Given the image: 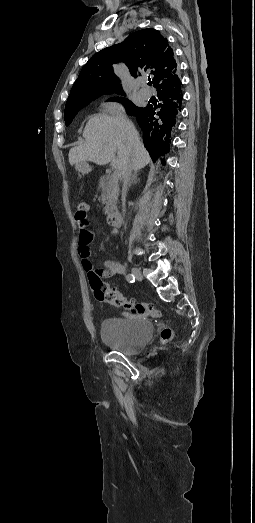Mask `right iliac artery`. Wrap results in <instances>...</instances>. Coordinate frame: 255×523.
I'll return each instance as SVG.
<instances>
[{"label": "right iliac artery", "mask_w": 255, "mask_h": 523, "mask_svg": "<svg viewBox=\"0 0 255 523\" xmlns=\"http://www.w3.org/2000/svg\"><path fill=\"white\" fill-rule=\"evenodd\" d=\"M126 280L129 282V283H133L135 282V276L133 274H128L126 276Z\"/></svg>", "instance_id": "obj_1"}]
</instances>
